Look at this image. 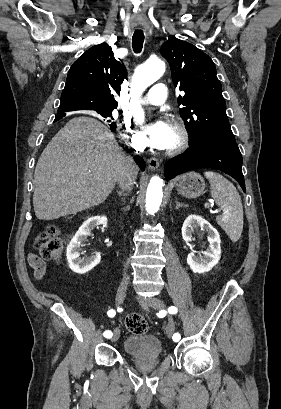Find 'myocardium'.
<instances>
[{
    "instance_id": "1",
    "label": "myocardium",
    "mask_w": 281,
    "mask_h": 409,
    "mask_svg": "<svg viewBox=\"0 0 281 409\" xmlns=\"http://www.w3.org/2000/svg\"><path fill=\"white\" fill-rule=\"evenodd\" d=\"M170 129L177 135V141L172 147L164 149L163 153L166 156L172 157L181 154L188 147L190 134L188 129L178 122L171 123Z\"/></svg>"
}]
</instances>
